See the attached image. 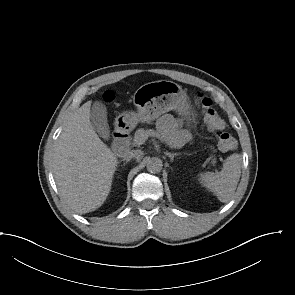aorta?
I'll return each mask as SVG.
<instances>
[{
  "label": "aorta",
  "mask_w": 295,
  "mask_h": 295,
  "mask_svg": "<svg viewBox=\"0 0 295 295\" xmlns=\"http://www.w3.org/2000/svg\"><path fill=\"white\" fill-rule=\"evenodd\" d=\"M162 160L157 157H152L147 162V170L153 173H158L162 170Z\"/></svg>",
  "instance_id": "762f6f07"
}]
</instances>
